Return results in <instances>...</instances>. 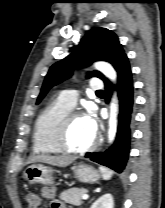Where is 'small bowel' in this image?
Wrapping results in <instances>:
<instances>
[{"mask_svg":"<svg viewBox=\"0 0 165 208\" xmlns=\"http://www.w3.org/2000/svg\"><path fill=\"white\" fill-rule=\"evenodd\" d=\"M42 195L51 200V208H67L61 201L55 199V188L44 187L42 189Z\"/></svg>","mask_w":165,"mask_h":208,"instance_id":"1","label":"small bowel"}]
</instances>
